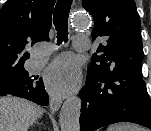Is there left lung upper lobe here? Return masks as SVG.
<instances>
[{"label": "left lung upper lobe", "instance_id": "obj_1", "mask_svg": "<svg viewBox=\"0 0 151 131\" xmlns=\"http://www.w3.org/2000/svg\"><path fill=\"white\" fill-rule=\"evenodd\" d=\"M93 16L92 39L103 40L88 66V75L110 78L142 67L140 17L134 0H83Z\"/></svg>", "mask_w": 151, "mask_h": 131}]
</instances>
